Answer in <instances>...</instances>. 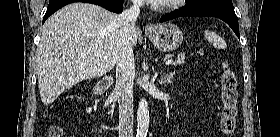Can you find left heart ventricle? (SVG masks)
<instances>
[{
  "label": "left heart ventricle",
  "instance_id": "b2bd125f",
  "mask_svg": "<svg viewBox=\"0 0 280 137\" xmlns=\"http://www.w3.org/2000/svg\"><path fill=\"white\" fill-rule=\"evenodd\" d=\"M168 27H170V26H164V28H168Z\"/></svg>",
  "mask_w": 280,
  "mask_h": 137
}]
</instances>
